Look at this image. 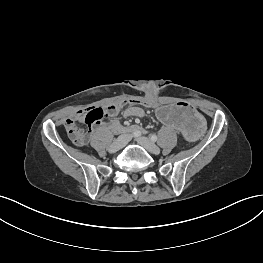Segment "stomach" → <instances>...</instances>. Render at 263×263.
Listing matches in <instances>:
<instances>
[{
    "instance_id": "obj_1",
    "label": "stomach",
    "mask_w": 263,
    "mask_h": 263,
    "mask_svg": "<svg viewBox=\"0 0 263 263\" xmlns=\"http://www.w3.org/2000/svg\"><path fill=\"white\" fill-rule=\"evenodd\" d=\"M156 121L178 131L187 143H196L204 135L207 125L204 118L189 105L181 102L159 105L154 113Z\"/></svg>"
}]
</instances>
